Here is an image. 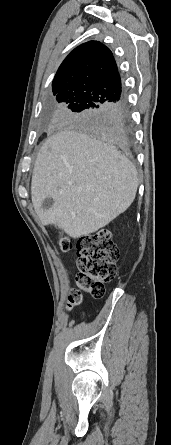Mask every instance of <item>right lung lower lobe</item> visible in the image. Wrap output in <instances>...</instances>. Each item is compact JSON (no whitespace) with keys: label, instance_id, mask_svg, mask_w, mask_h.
Masks as SVG:
<instances>
[{"label":"right lung lower lobe","instance_id":"1","mask_svg":"<svg viewBox=\"0 0 171 445\" xmlns=\"http://www.w3.org/2000/svg\"><path fill=\"white\" fill-rule=\"evenodd\" d=\"M126 115V104L122 98L108 101L98 117L103 137L124 148L128 146Z\"/></svg>","mask_w":171,"mask_h":445}]
</instances>
